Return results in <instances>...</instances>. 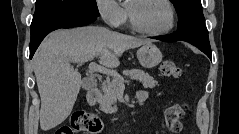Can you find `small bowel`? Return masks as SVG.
<instances>
[{
	"instance_id": "obj_1",
	"label": "small bowel",
	"mask_w": 239,
	"mask_h": 134,
	"mask_svg": "<svg viewBox=\"0 0 239 134\" xmlns=\"http://www.w3.org/2000/svg\"><path fill=\"white\" fill-rule=\"evenodd\" d=\"M138 97H141L143 101H145L149 97V93L147 91H140L137 94Z\"/></svg>"
}]
</instances>
